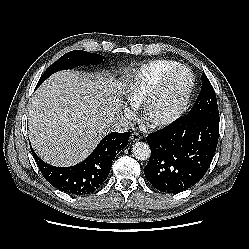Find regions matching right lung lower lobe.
Segmentation results:
<instances>
[{"label": "right lung lower lobe", "instance_id": "98d812e1", "mask_svg": "<svg viewBox=\"0 0 249 249\" xmlns=\"http://www.w3.org/2000/svg\"><path fill=\"white\" fill-rule=\"evenodd\" d=\"M129 136L128 132L106 135L91 155L71 167L51 166L42 161L32 147L31 151L42 175L51 185L68 194L85 195L103 184L115 156L127 146Z\"/></svg>", "mask_w": 249, "mask_h": 249}]
</instances>
